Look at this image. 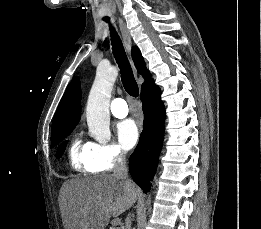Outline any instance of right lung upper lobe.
Instances as JSON below:
<instances>
[{
	"mask_svg": "<svg viewBox=\"0 0 261 229\" xmlns=\"http://www.w3.org/2000/svg\"><path fill=\"white\" fill-rule=\"evenodd\" d=\"M132 57L135 62L136 68L139 73L145 78V82L142 84L141 90L153 83L150 77L149 71L146 69L144 59L137 47L132 48ZM81 92L78 78H75L68 85L57 111L54 115L52 128L64 125V124H77L81 115ZM56 144V141L52 139V146ZM57 145V144H56ZM51 146V147H52Z\"/></svg>",
	"mask_w": 261,
	"mask_h": 229,
	"instance_id": "1",
	"label": "right lung upper lobe"
}]
</instances>
